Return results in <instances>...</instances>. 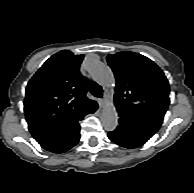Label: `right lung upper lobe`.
I'll return each instance as SVG.
<instances>
[{"label":"right lung upper lobe","mask_w":194,"mask_h":193,"mask_svg":"<svg viewBox=\"0 0 194 193\" xmlns=\"http://www.w3.org/2000/svg\"><path fill=\"white\" fill-rule=\"evenodd\" d=\"M83 57L62 50L30 79L24 111L31 133L57 126L97 104L86 97L88 79L79 72Z\"/></svg>","instance_id":"right-lung-upper-lobe-1"}]
</instances>
